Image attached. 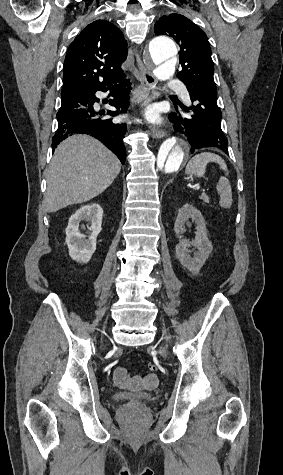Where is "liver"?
<instances>
[{"label": "liver", "instance_id": "1", "mask_svg": "<svg viewBox=\"0 0 283 475\" xmlns=\"http://www.w3.org/2000/svg\"><path fill=\"white\" fill-rule=\"evenodd\" d=\"M120 170V160L99 140L91 136L67 138L56 148L48 170L47 212L89 202L111 186Z\"/></svg>", "mask_w": 283, "mask_h": 475}]
</instances>
